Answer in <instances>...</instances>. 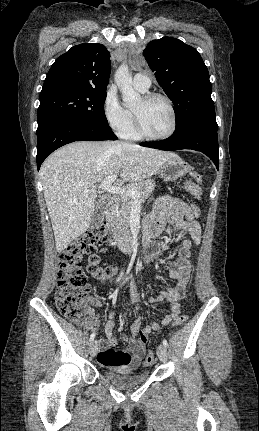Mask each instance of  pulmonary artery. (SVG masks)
<instances>
[{
	"mask_svg": "<svg viewBox=\"0 0 259 431\" xmlns=\"http://www.w3.org/2000/svg\"><path fill=\"white\" fill-rule=\"evenodd\" d=\"M150 85V78L146 74L138 73L133 78V86L141 92H146Z\"/></svg>",
	"mask_w": 259,
	"mask_h": 431,
	"instance_id": "pulmonary-artery-1",
	"label": "pulmonary artery"
}]
</instances>
